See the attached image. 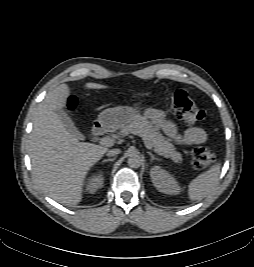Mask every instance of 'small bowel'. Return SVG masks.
I'll return each mask as SVG.
<instances>
[{"instance_id":"obj_1","label":"small bowel","mask_w":254,"mask_h":267,"mask_svg":"<svg viewBox=\"0 0 254 267\" xmlns=\"http://www.w3.org/2000/svg\"><path fill=\"white\" fill-rule=\"evenodd\" d=\"M146 117L177 144L193 146L202 144L207 139L206 132L200 127H190L182 133L179 132L177 126L168 120L161 110L148 109Z\"/></svg>"}]
</instances>
